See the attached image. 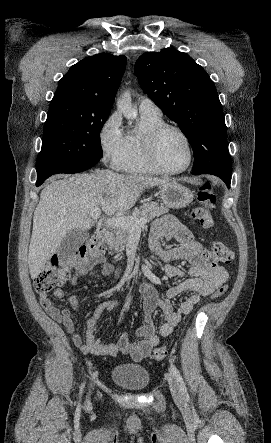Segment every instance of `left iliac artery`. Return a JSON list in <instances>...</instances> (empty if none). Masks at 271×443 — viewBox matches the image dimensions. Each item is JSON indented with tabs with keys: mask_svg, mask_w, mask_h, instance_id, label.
<instances>
[{
	"mask_svg": "<svg viewBox=\"0 0 271 443\" xmlns=\"http://www.w3.org/2000/svg\"><path fill=\"white\" fill-rule=\"evenodd\" d=\"M170 370L173 373V375L176 377V380H177V382H178V384L180 386L182 395L184 397H188L187 388H186V385H185V383L183 381V378H182L179 370L177 369V367L174 364L170 365Z\"/></svg>",
	"mask_w": 271,
	"mask_h": 443,
	"instance_id": "obj_1",
	"label": "left iliac artery"
}]
</instances>
